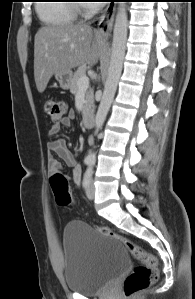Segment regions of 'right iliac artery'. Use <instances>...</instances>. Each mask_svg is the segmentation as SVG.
<instances>
[{"label":"right iliac artery","instance_id":"82829eb1","mask_svg":"<svg viewBox=\"0 0 195 299\" xmlns=\"http://www.w3.org/2000/svg\"><path fill=\"white\" fill-rule=\"evenodd\" d=\"M84 163H85L86 165H89V164L91 163V161L88 160V159H85V160H84Z\"/></svg>","mask_w":195,"mask_h":299}]
</instances>
